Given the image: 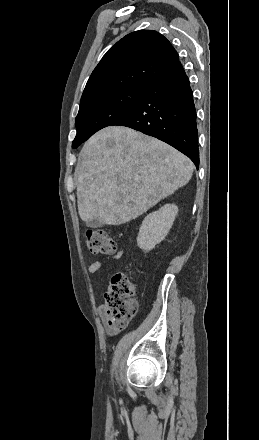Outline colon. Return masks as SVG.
Instances as JSON below:
<instances>
[{"label": "colon", "mask_w": 259, "mask_h": 440, "mask_svg": "<svg viewBox=\"0 0 259 440\" xmlns=\"http://www.w3.org/2000/svg\"><path fill=\"white\" fill-rule=\"evenodd\" d=\"M87 248L95 255H110L116 251L112 236L104 230L87 232ZM134 284L123 273L112 276L110 286L104 295L105 318L111 327H126L137 312V303L133 296Z\"/></svg>", "instance_id": "1"}]
</instances>
